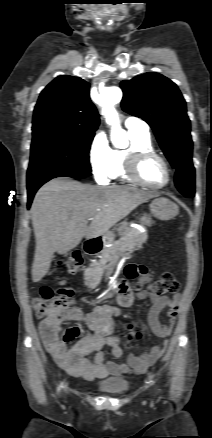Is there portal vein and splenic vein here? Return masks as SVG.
I'll return each instance as SVG.
<instances>
[{
    "label": "portal vein and splenic vein",
    "mask_w": 212,
    "mask_h": 438,
    "mask_svg": "<svg viewBox=\"0 0 212 438\" xmlns=\"http://www.w3.org/2000/svg\"><path fill=\"white\" fill-rule=\"evenodd\" d=\"M94 218L93 217H90L88 220H93Z\"/></svg>",
    "instance_id": "18ae733b"
}]
</instances>
